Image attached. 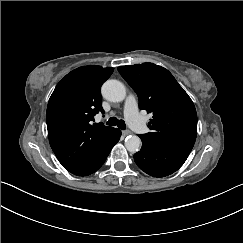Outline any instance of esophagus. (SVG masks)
Here are the masks:
<instances>
[{"instance_id": "1", "label": "esophagus", "mask_w": 243, "mask_h": 243, "mask_svg": "<svg viewBox=\"0 0 243 243\" xmlns=\"http://www.w3.org/2000/svg\"><path fill=\"white\" fill-rule=\"evenodd\" d=\"M130 134H132V132L130 130L122 131V136H127V135H130Z\"/></svg>"}]
</instances>
